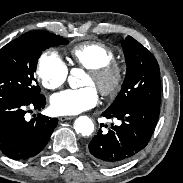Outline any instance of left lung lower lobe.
I'll return each mask as SVG.
<instances>
[{
	"label": "left lung lower lobe",
	"mask_w": 183,
	"mask_h": 183,
	"mask_svg": "<svg viewBox=\"0 0 183 183\" xmlns=\"http://www.w3.org/2000/svg\"><path fill=\"white\" fill-rule=\"evenodd\" d=\"M160 107L135 103L118 110H106L102 115L117 118L121 125L112 124L108 133L100 129L89 143L90 157L103 166L120 164L137 154L149 142L159 117ZM104 125L102 124L101 127Z\"/></svg>",
	"instance_id": "left-lung-lower-lobe-1"
}]
</instances>
